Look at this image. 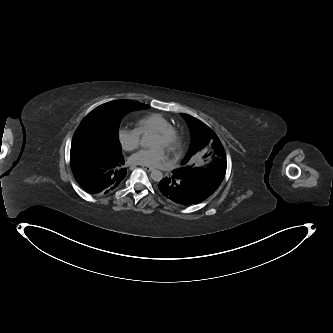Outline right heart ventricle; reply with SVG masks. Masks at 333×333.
Wrapping results in <instances>:
<instances>
[{
    "label": "right heart ventricle",
    "mask_w": 333,
    "mask_h": 333,
    "mask_svg": "<svg viewBox=\"0 0 333 333\" xmlns=\"http://www.w3.org/2000/svg\"><path fill=\"white\" fill-rule=\"evenodd\" d=\"M168 127H171L170 121L158 113L142 116L136 122V129L140 134H145L149 131H157Z\"/></svg>",
    "instance_id": "obj_1"
}]
</instances>
